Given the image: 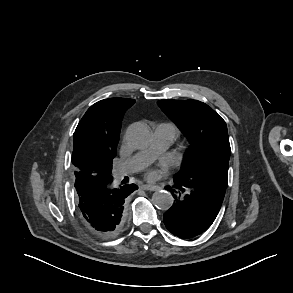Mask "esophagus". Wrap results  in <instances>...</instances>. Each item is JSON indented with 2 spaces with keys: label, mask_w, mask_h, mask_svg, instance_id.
<instances>
[{
  "label": "esophagus",
  "mask_w": 293,
  "mask_h": 293,
  "mask_svg": "<svg viewBox=\"0 0 293 293\" xmlns=\"http://www.w3.org/2000/svg\"><path fill=\"white\" fill-rule=\"evenodd\" d=\"M140 189L147 190V191H156V190H159L160 187L158 185L144 184L140 187Z\"/></svg>",
  "instance_id": "1"
}]
</instances>
